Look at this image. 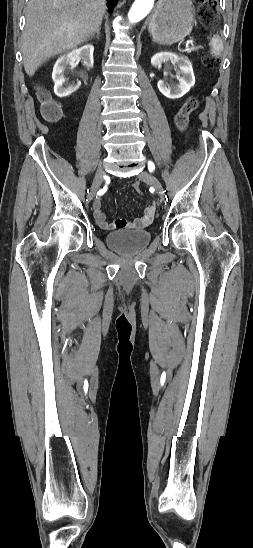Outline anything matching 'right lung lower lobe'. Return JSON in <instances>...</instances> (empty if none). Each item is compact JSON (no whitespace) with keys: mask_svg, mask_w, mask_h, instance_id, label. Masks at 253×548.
Returning a JSON list of instances; mask_svg holds the SVG:
<instances>
[{"mask_svg":"<svg viewBox=\"0 0 253 548\" xmlns=\"http://www.w3.org/2000/svg\"><path fill=\"white\" fill-rule=\"evenodd\" d=\"M107 2L110 6H114L118 2V0H107Z\"/></svg>","mask_w":253,"mask_h":548,"instance_id":"obj_1","label":"right lung lower lobe"}]
</instances>
